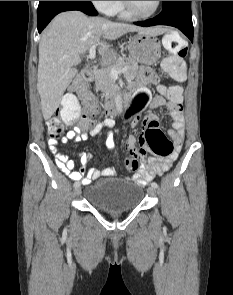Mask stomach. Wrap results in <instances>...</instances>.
Instances as JSON below:
<instances>
[{"label":"stomach","instance_id":"0dacf381","mask_svg":"<svg viewBox=\"0 0 233 295\" xmlns=\"http://www.w3.org/2000/svg\"><path fill=\"white\" fill-rule=\"evenodd\" d=\"M128 50L135 61L153 65L160 57L161 46L155 35L137 32L129 37Z\"/></svg>","mask_w":233,"mask_h":295}]
</instances>
